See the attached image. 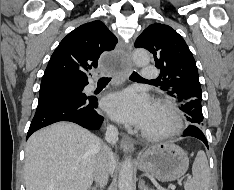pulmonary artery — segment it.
Wrapping results in <instances>:
<instances>
[{
	"mask_svg": "<svg viewBox=\"0 0 234 190\" xmlns=\"http://www.w3.org/2000/svg\"><path fill=\"white\" fill-rule=\"evenodd\" d=\"M143 79H152L157 76V68L155 66H144L142 68Z\"/></svg>",
	"mask_w": 234,
	"mask_h": 190,
	"instance_id": "pulmonary-artery-1",
	"label": "pulmonary artery"
}]
</instances>
